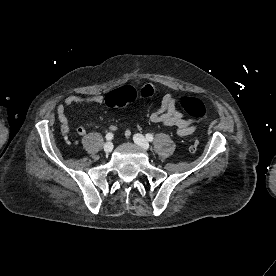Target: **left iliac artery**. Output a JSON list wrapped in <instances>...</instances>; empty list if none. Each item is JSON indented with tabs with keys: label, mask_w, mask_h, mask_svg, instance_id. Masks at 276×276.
Instances as JSON below:
<instances>
[{
	"label": "left iliac artery",
	"mask_w": 276,
	"mask_h": 276,
	"mask_svg": "<svg viewBox=\"0 0 276 276\" xmlns=\"http://www.w3.org/2000/svg\"><path fill=\"white\" fill-rule=\"evenodd\" d=\"M146 139L148 140V141H153V135L152 134H146Z\"/></svg>",
	"instance_id": "left-iliac-artery-1"
}]
</instances>
